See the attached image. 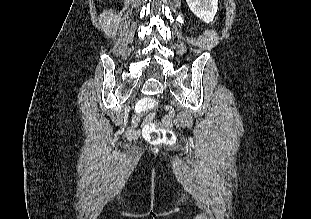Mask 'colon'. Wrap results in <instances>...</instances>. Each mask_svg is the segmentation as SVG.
Wrapping results in <instances>:
<instances>
[{"label": "colon", "mask_w": 311, "mask_h": 219, "mask_svg": "<svg viewBox=\"0 0 311 219\" xmlns=\"http://www.w3.org/2000/svg\"><path fill=\"white\" fill-rule=\"evenodd\" d=\"M158 102L153 97L141 100L136 109L140 114L149 113L148 120L143 128L144 138L152 144L171 145L176 142V134L168 128L159 126L153 119L152 113L158 109Z\"/></svg>", "instance_id": "obj_1"}]
</instances>
